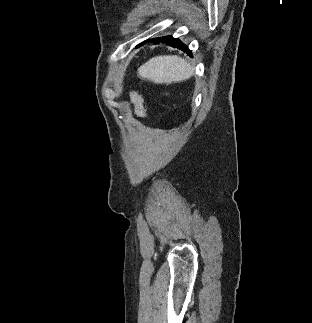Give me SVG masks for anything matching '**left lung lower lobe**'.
Returning <instances> with one entry per match:
<instances>
[{"instance_id":"obj_1","label":"left lung lower lobe","mask_w":312,"mask_h":323,"mask_svg":"<svg viewBox=\"0 0 312 323\" xmlns=\"http://www.w3.org/2000/svg\"><path fill=\"white\" fill-rule=\"evenodd\" d=\"M150 41L168 43L172 47L178 48V49H180V50H182L184 52H187L188 55L192 56V52L188 49V47L186 45H184L179 39L173 38L172 36L159 37V38H156V39H152ZM142 44H140V45H142ZM140 45H138V46H140Z\"/></svg>"}]
</instances>
